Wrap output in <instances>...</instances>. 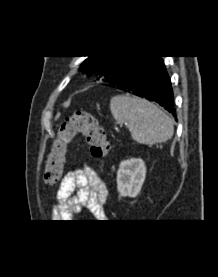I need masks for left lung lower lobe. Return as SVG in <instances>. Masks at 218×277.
I'll return each instance as SVG.
<instances>
[{
  "label": "left lung lower lobe",
  "instance_id": "1",
  "mask_svg": "<svg viewBox=\"0 0 218 277\" xmlns=\"http://www.w3.org/2000/svg\"><path fill=\"white\" fill-rule=\"evenodd\" d=\"M104 81L118 89L155 101L176 116L170 78L159 56H136Z\"/></svg>",
  "mask_w": 218,
  "mask_h": 277
}]
</instances>
